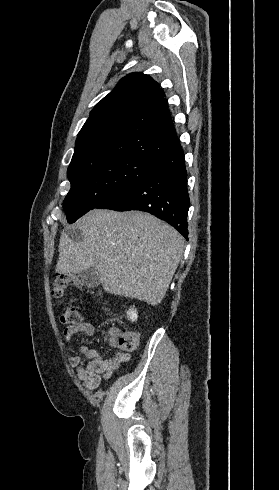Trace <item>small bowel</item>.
Wrapping results in <instances>:
<instances>
[{
    "label": "small bowel",
    "instance_id": "obj_1",
    "mask_svg": "<svg viewBox=\"0 0 279 490\" xmlns=\"http://www.w3.org/2000/svg\"><path fill=\"white\" fill-rule=\"evenodd\" d=\"M78 333L92 336L95 333L94 326L87 322L67 327L63 331L64 339L72 341ZM130 360L127 352H117L109 358H103L95 349L86 345L79 347V354L68 358L71 367L76 370L77 376L84 382L88 389H95L100 384L102 377H109L116 372L123 363ZM88 361V362H87Z\"/></svg>",
    "mask_w": 279,
    "mask_h": 490
}]
</instances>
